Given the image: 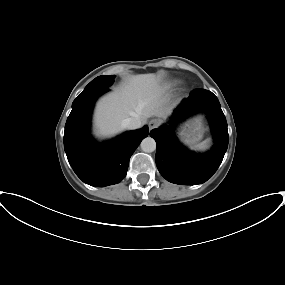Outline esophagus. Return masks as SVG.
Returning a JSON list of instances; mask_svg holds the SVG:
<instances>
[{"label": "esophagus", "mask_w": 285, "mask_h": 285, "mask_svg": "<svg viewBox=\"0 0 285 285\" xmlns=\"http://www.w3.org/2000/svg\"><path fill=\"white\" fill-rule=\"evenodd\" d=\"M160 125V120L158 119H152L150 122H149V129H155L157 128L158 126Z\"/></svg>", "instance_id": "1"}]
</instances>
